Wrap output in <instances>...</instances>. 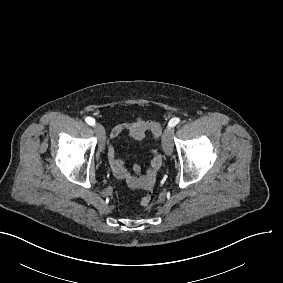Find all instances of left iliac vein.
Instances as JSON below:
<instances>
[{
  "instance_id": "left-iliac-vein-1",
  "label": "left iliac vein",
  "mask_w": 283,
  "mask_h": 283,
  "mask_svg": "<svg viewBox=\"0 0 283 283\" xmlns=\"http://www.w3.org/2000/svg\"><path fill=\"white\" fill-rule=\"evenodd\" d=\"M172 133L173 128L168 127L164 130L162 134V145L166 155H171L173 151Z\"/></svg>"
}]
</instances>
